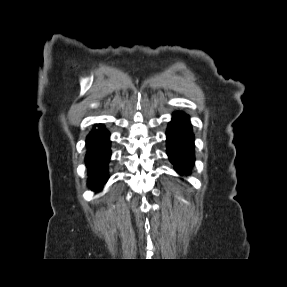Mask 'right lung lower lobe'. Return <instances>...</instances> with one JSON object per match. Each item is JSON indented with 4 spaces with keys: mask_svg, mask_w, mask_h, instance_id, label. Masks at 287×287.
I'll use <instances>...</instances> for the list:
<instances>
[{
    "mask_svg": "<svg viewBox=\"0 0 287 287\" xmlns=\"http://www.w3.org/2000/svg\"><path fill=\"white\" fill-rule=\"evenodd\" d=\"M95 127L86 138L85 163L88 169V186L97 191L109 178L107 165L111 153L109 132L102 124L95 125Z\"/></svg>",
    "mask_w": 287,
    "mask_h": 287,
    "instance_id": "1",
    "label": "right lung lower lobe"
}]
</instances>
